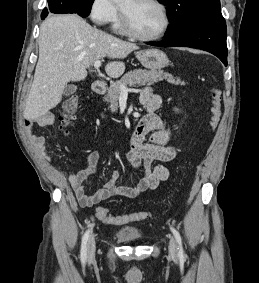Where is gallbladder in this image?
Masks as SVG:
<instances>
[{
    "mask_svg": "<svg viewBox=\"0 0 259 283\" xmlns=\"http://www.w3.org/2000/svg\"><path fill=\"white\" fill-rule=\"evenodd\" d=\"M77 91V86L76 85H68L65 87L64 91H63V95L64 96H70L72 94H74Z\"/></svg>",
    "mask_w": 259,
    "mask_h": 283,
    "instance_id": "gallbladder-1",
    "label": "gallbladder"
}]
</instances>
